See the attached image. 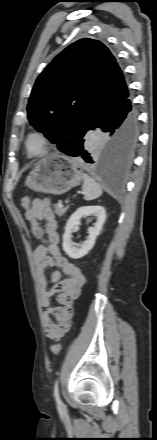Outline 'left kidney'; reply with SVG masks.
Returning <instances> with one entry per match:
<instances>
[{"label":"left kidney","mask_w":157,"mask_h":440,"mask_svg":"<svg viewBox=\"0 0 157 440\" xmlns=\"http://www.w3.org/2000/svg\"><path fill=\"white\" fill-rule=\"evenodd\" d=\"M94 216L96 218V223L93 227L88 229L87 240L82 243V245L77 248L74 246L72 241V230L79 225L80 220L83 217ZM106 219L105 209L101 206H85L80 207L75 213L71 215L66 226L65 232L63 234V250L72 259H78L86 254L93 248L97 236L100 234L103 224Z\"/></svg>","instance_id":"left-kidney-1"}]
</instances>
